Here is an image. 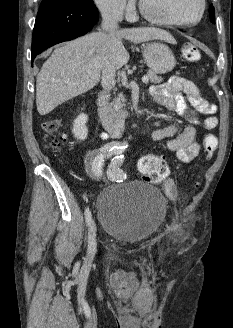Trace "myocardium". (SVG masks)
Returning <instances> with one entry per match:
<instances>
[{"mask_svg":"<svg viewBox=\"0 0 233 328\" xmlns=\"http://www.w3.org/2000/svg\"><path fill=\"white\" fill-rule=\"evenodd\" d=\"M200 13L194 21L184 22L172 19H166L152 14L143 4L142 0H139L138 7L141 15L148 21L162 25V26H174V27H193L198 25L204 18L206 12V0H200Z\"/></svg>","mask_w":233,"mask_h":328,"instance_id":"f54148a6","label":"myocardium"}]
</instances>
